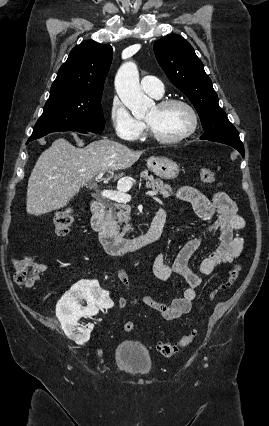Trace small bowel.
<instances>
[{"label":"small bowel","instance_id":"obj_1","mask_svg":"<svg viewBox=\"0 0 269 426\" xmlns=\"http://www.w3.org/2000/svg\"><path fill=\"white\" fill-rule=\"evenodd\" d=\"M176 196L191 204L197 217L204 221L205 227L182 246L172 266L167 265L164 254H159L154 260L153 270L155 276L162 281L168 280L173 274H178L186 280L188 286L181 297L170 302H159L147 295L138 297L131 292V282L126 270L117 266V278L129 293L128 297L118 298L117 305L121 309L134 308L141 303L165 320L179 318L190 312L197 289L202 284L200 275L188 266L191 256L200 245L202 236L212 231L218 232L219 236L216 249L200 265L199 271L203 275L211 274L219 265L232 263L244 249V239L237 232L245 227L246 222L238 214L237 206L229 195L218 191L208 198L194 187L182 186L177 190ZM42 268L44 270L47 267L43 265Z\"/></svg>","mask_w":269,"mask_h":426}]
</instances>
